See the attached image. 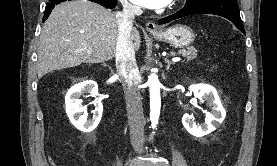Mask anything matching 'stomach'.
Instances as JSON below:
<instances>
[{
    "mask_svg": "<svg viewBox=\"0 0 277 166\" xmlns=\"http://www.w3.org/2000/svg\"><path fill=\"white\" fill-rule=\"evenodd\" d=\"M153 37L159 41L169 43L174 47H187L195 39L194 31L186 25H175L160 32L153 33Z\"/></svg>",
    "mask_w": 277,
    "mask_h": 166,
    "instance_id": "stomach-1",
    "label": "stomach"
}]
</instances>
